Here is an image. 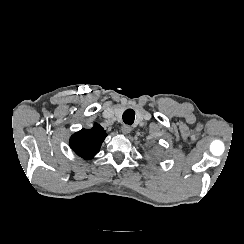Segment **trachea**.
Returning a JSON list of instances; mask_svg holds the SVG:
<instances>
[{"mask_svg": "<svg viewBox=\"0 0 244 244\" xmlns=\"http://www.w3.org/2000/svg\"><path fill=\"white\" fill-rule=\"evenodd\" d=\"M125 124L132 125L135 119V111L133 109H126L122 115Z\"/></svg>", "mask_w": 244, "mask_h": 244, "instance_id": "trachea-1", "label": "trachea"}]
</instances>
